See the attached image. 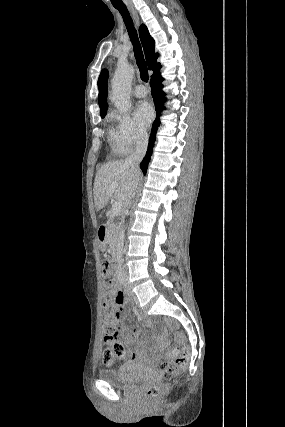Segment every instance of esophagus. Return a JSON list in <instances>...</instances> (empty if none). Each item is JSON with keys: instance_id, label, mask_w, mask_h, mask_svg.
Here are the masks:
<instances>
[{"instance_id": "esophagus-1", "label": "esophagus", "mask_w": 285, "mask_h": 427, "mask_svg": "<svg viewBox=\"0 0 285 427\" xmlns=\"http://www.w3.org/2000/svg\"><path fill=\"white\" fill-rule=\"evenodd\" d=\"M130 11H131V13H132V15H133V18H134V20H135V22H136V24L137 25H139V16H138V13H137V11L134 9V7L133 6H131L130 8Z\"/></svg>"}]
</instances>
